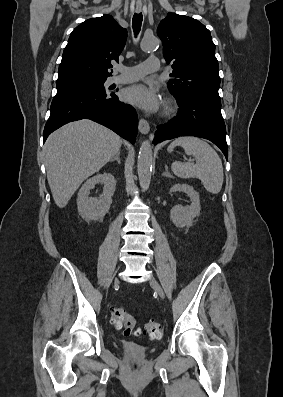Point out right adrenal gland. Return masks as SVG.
Masks as SVG:
<instances>
[{"mask_svg":"<svg viewBox=\"0 0 283 397\" xmlns=\"http://www.w3.org/2000/svg\"><path fill=\"white\" fill-rule=\"evenodd\" d=\"M117 161L119 164L121 163V161H120V152H118L111 160H110V162H113V161Z\"/></svg>","mask_w":283,"mask_h":397,"instance_id":"2a0ac1e0","label":"right adrenal gland"}]
</instances>
